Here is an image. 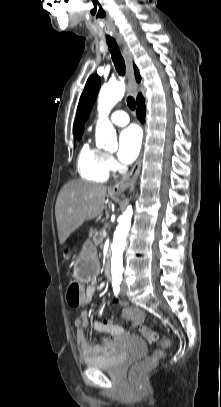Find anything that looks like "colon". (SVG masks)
<instances>
[{"instance_id": "obj_1", "label": "colon", "mask_w": 221, "mask_h": 407, "mask_svg": "<svg viewBox=\"0 0 221 407\" xmlns=\"http://www.w3.org/2000/svg\"><path fill=\"white\" fill-rule=\"evenodd\" d=\"M84 297L85 294L84 291H81L80 284L78 282H73L69 287V291L66 292V304L69 306L70 311H81ZM120 312L123 313L126 320L128 319L132 322V329H137L139 327L140 332L148 341L156 342L158 340V335L148 326L144 325L146 316L141 310H136L134 305H125L120 307ZM161 345L167 347L169 341L163 339ZM164 356L165 352L163 350H157L146 359L135 363L130 370L131 381L133 383H138Z\"/></svg>"}]
</instances>
